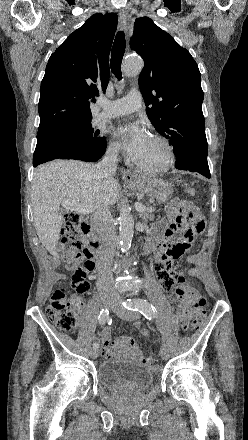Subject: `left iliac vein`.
<instances>
[{
    "label": "left iliac vein",
    "instance_id": "4c4485c4",
    "mask_svg": "<svg viewBox=\"0 0 248 440\" xmlns=\"http://www.w3.org/2000/svg\"><path fill=\"white\" fill-rule=\"evenodd\" d=\"M121 299L117 298L115 300L114 305L111 307L113 312L118 315L120 318L125 319V320H135L137 319L138 315L135 312H131L126 310L122 305H121ZM160 355L162 357L163 360H167L169 357V353H168V349L166 346H162L161 350H160Z\"/></svg>",
    "mask_w": 248,
    "mask_h": 440
}]
</instances>
